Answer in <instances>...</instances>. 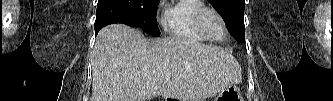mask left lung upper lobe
<instances>
[{"label": "left lung upper lobe", "mask_w": 333, "mask_h": 101, "mask_svg": "<svg viewBox=\"0 0 333 101\" xmlns=\"http://www.w3.org/2000/svg\"><path fill=\"white\" fill-rule=\"evenodd\" d=\"M222 16L231 35L245 42L244 0H208Z\"/></svg>", "instance_id": "1"}]
</instances>
